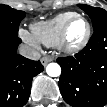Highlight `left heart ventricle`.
Listing matches in <instances>:
<instances>
[{"mask_svg": "<svg viewBox=\"0 0 107 107\" xmlns=\"http://www.w3.org/2000/svg\"><path fill=\"white\" fill-rule=\"evenodd\" d=\"M86 31V24L81 19H76L73 21L69 28L68 39L72 44L78 43L84 36Z\"/></svg>", "mask_w": 107, "mask_h": 107, "instance_id": "1", "label": "left heart ventricle"}]
</instances>
